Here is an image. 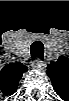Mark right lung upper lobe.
I'll use <instances>...</instances> for the list:
<instances>
[{"mask_svg":"<svg viewBox=\"0 0 69 101\" xmlns=\"http://www.w3.org/2000/svg\"><path fill=\"white\" fill-rule=\"evenodd\" d=\"M26 71L27 67L19 62L4 66L0 72V85L6 95H12L16 91L19 80Z\"/></svg>","mask_w":69,"mask_h":101,"instance_id":"obj_1","label":"right lung upper lobe"}]
</instances>
